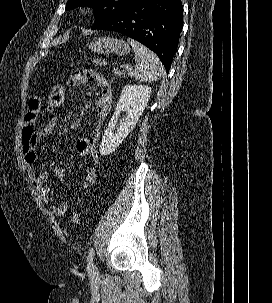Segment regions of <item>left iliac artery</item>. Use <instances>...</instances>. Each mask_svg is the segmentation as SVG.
Returning a JSON list of instances; mask_svg holds the SVG:
<instances>
[{
	"label": "left iliac artery",
	"instance_id": "1",
	"mask_svg": "<svg viewBox=\"0 0 272 303\" xmlns=\"http://www.w3.org/2000/svg\"><path fill=\"white\" fill-rule=\"evenodd\" d=\"M94 254H95L94 248L91 247V248L89 249L88 256H87V263H88L87 266H88V269H90L91 267H93V258H94Z\"/></svg>",
	"mask_w": 272,
	"mask_h": 303
}]
</instances>
